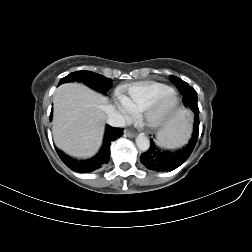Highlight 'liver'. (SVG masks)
<instances>
[{
  "instance_id": "1",
  "label": "liver",
  "mask_w": 252,
  "mask_h": 252,
  "mask_svg": "<svg viewBox=\"0 0 252 252\" xmlns=\"http://www.w3.org/2000/svg\"><path fill=\"white\" fill-rule=\"evenodd\" d=\"M107 103V97L81 83L59 86L53 96L56 145L73 157L94 155L102 142Z\"/></svg>"
}]
</instances>
